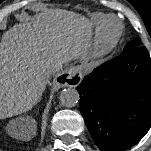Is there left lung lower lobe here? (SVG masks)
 Listing matches in <instances>:
<instances>
[{
  "label": "left lung lower lobe",
  "instance_id": "0a47b994",
  "mask_svg": "<svg viewBox=\"0 0 151 151\" xmlns=\"http://www.w3.org/2000/svg\"><path fill=\"white\" fill-rule=\"evenodd\" d=\"M80 112L97 147L123 151L151 126V58L136 47L95 68L76 87Z\"/></svg>",
  "mask_w": 151,
  "mask_h": 151
}]
</instances>
